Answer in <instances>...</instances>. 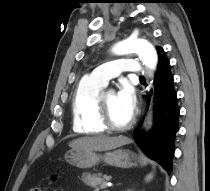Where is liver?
Listing matches in <instances>:
<instances>
[{
  "mask_svg": "<svg viewBox=\"0 0 210 191\" xmlns=\"http://www.w3.org/2000/svg\"><path fill=\"white\" fill-rule=\"evenodd\" d=\"M131 143V140L124 136H93L75 139L69 143L72 149L90 151H107Z\"/></svg>",
  "mask_w": 210,
  "mask_h": 191,
  "instance_id": "1",
  "label": "liver"
}]
</instances>
